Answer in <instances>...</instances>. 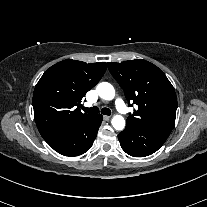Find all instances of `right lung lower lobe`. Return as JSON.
<instances>
[{
  "label": "right lung lower lobe",
  "instance_id": "right-lung-lower-lobe-1",
  "mask_svg": "<svg viewBox=\"0 0 207 207\" xmlns=\"http://www.w3.org/2000/svg\"><path fill=\"white\" fill-rule=\"evenodd\" d=\"M102 119V115H94L88 120L70 126L48 143L55 151L65 156L84 154L92 146Z\"/></svg>",
  "mask_w": 207,
  "mask_h": 207
}]
</instances>
